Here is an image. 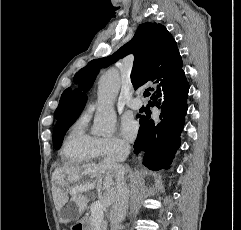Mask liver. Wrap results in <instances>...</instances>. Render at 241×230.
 Instances as JSON below:
<instances>
[{"instance_id":"6515ba94","label":"liver","mask_w":241,"mask_h":230,"mask_svg":"<svg viewBox=\"0 0 241 230\" xmlns=\"http://www.w3.org/2000/svg\"><path fill=\"white\" fill-rule=\"evenodd\" d=\"M125 171V167L122 166L120 172L124 175ZM114 178L116 177L113 169L103 163H89L81 167L56 169L53 179L57 186L53 190V199L55 208L61 215V222L68 223L70 221V219L62 218L67 211L64 206L69 200L68 193L71 195L70 201L76 204L80 215L87 207V198L83 193L90 191L95 186L99 198L112 204L116 195Z\"/></svg>"}]
</instances>
